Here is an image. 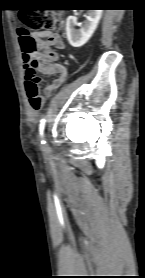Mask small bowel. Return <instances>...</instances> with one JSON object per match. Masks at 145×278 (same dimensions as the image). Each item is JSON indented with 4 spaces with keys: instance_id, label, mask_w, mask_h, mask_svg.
<instances>
[{
    "instance_id": "obj_1",
    "label": "small bowel",
    "mask_w": 145,
    "mask_h": 278,
    "mask_svg": "<svg viewBox=\"0 0 145 278\" xmlns=\"http://www.w3.org/2000/svg\"><path fill=\"white\" fill-rule=\"evenodd\" d=\"M29 36L34 37L41 46H53L58 50H62L65 47L62 37L57 33L40 32L32 33L27 32ZM30 65L28 60L24 61L25 69ZM34 70L44 75L55 76V78L45 86L44 93L46 91H54L57 89L66 79V68L56 62H50L46 59L39 60L34 66Z\"/></svg>"
}]
</instances>
